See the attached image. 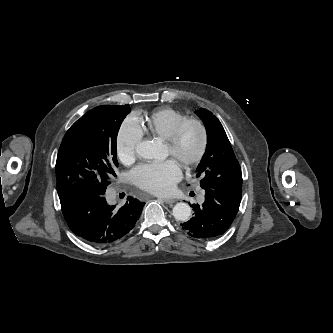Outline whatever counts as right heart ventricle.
<instances>
[{"label": "right heart ventricle", "instance_id": "obj_1", "mask_svg": "<svg viewBox=\"0 0 333 333\" xmlns=\"http://www.w3.org/2000/svg\"><path fill=\"white\" fill-rule=\"evenodd\" d=\"M187 116L178 110L164 108L153 111L141 126L142 131L167 140L174 128Z\"/></svg>", "mask_w": 333, "mask_h": 333}]
</instances>
